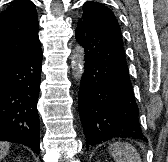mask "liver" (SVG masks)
I'll return each mask as SVG.
<instances>
[{
	"instance_id": "1",
	"label": "liver",
	"mask_w": 168,
	"mask_h": 162,
	"mask_svg": "<svg viewBox=\"0 0 168 162\" xmlns=\"http://www.w3.org/2000/svg\"><path fill=\"white\" fill-rule=\"evenodd\" d=\"M10 145L8 142H1L0 141V160H2L6 154L8 153Z\"/></svg>"
}]
</instances>
